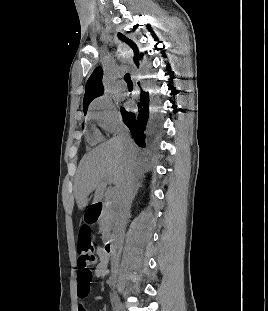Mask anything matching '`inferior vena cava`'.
<instances>
[{"mask_svg": "<svg viewBox=\"0 0 268 311\" xmlns=\"http://www.w3.org/2000/svg\"><path fill=\"white\" fill-rule=\"evenodd\" d=\"M119 137L127 140L128 136L121 133ZM135 195V179L129 175L122 184L117 196L116 209L114 213L113 246L114 251L111 256V265L118 268L120 261V247L123 244L127 217L133 197Z\"/></svg>", "mask_w": 268, "mask_h": 311, "instance_id": "obj_1", "label": "inferior vena cava"}]
</instances>
